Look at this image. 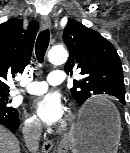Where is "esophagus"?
I'll list each match as a JSON object with an SVG mask.
<instances>
[{
    "instance_id": "1",
    "label": "esophagus",
    "mask_w": 130,
    "mask_h": 153,
    "mask_svg": "<svg viewBox=\"0 0 130 153\" xmlns=\"http://www.w3.org/2000/svg\"><path fill=\"white\" fill-rule=\"evenodd\" d=\"M41 24L44 28H50L51 27V19L49 16L45 15L41 17ZM53 149V141L52 140H46L42 145V150L45 153L50 152Z\"/></svg>"
}]
</instances>
